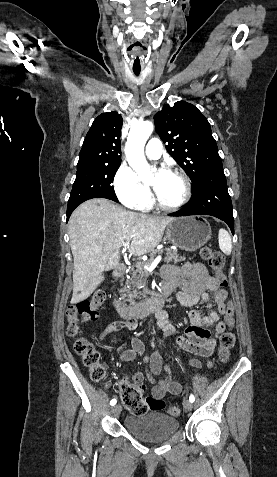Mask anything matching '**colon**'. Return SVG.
I'll use <instances>...</instances> for the list:
<instances>
[{
	"label": "colon",
	"mask_w": 277,
	"mask_h": 477,
	"mask_svg": "<svg viewBox=\"0 0 277 477\" xmlns=\"http://www.w3.org/2000/svg\"><path fill=\"white\" fill-rule=\"evenodd\" d=\"M201 257L208 262L214 270L216 279L222 286L227 285L226 275L224 274L225 256L219 250L212 247H203L200 251ZM106 293L103 289L96 290L90 299L83 300L72 306L68 310L69 325L67 333L75 339L74 350L81 357L83 364L89 368L91 377L94 381H104L106 377V366L100 359V354L96 348L82 336V323L94 321L98 318V308L104 303ZM226 311L223 315L224 324L233 326L235 320V300L229 299L224 305ZM235 346V335L232 331L223 333L220 337L219 357L226 361L231 349ZM144 387L142 385L132 384L131 382H122L120 386L121 401L124 406L133 414L141 415L148 411H160L165 407L162 399L152 396L143 397ZM168 413L172 416H178L180 410L177 407H170Z\"/></svg>",
	"instance_id": "5ec220e1"
}]
</instances>
